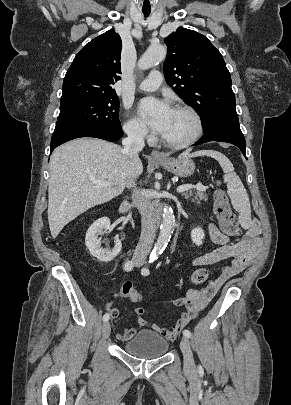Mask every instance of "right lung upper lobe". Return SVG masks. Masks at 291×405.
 <instances>
[{"mask_svg": "<svg viewBox=\"0 0 291 405\" xmlns=\"http://www.w3.org/2000/svg\"><path fill=\"white\" fill-rule=\"evenodd\" d=\"M121 48V38L113 29L91 40L65 75L61 101L117 96L112 85L120 80Z\"/></svg>", "mask_w": 291, "mask_h": 405, "instance_id": "right-lung-upper-lobe-1", "label": "right lung upper lobe"}]
</instances>
